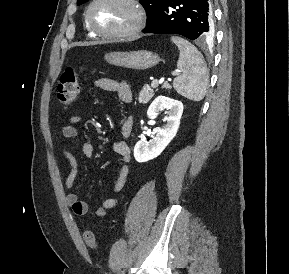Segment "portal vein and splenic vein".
<instances>
[{
  "mask_svg": "<svg viewBox=\"0 0 289 274\" xmlns=\"http://www.w3.org/2000/svg\"><path fill=\"white\" fill-rule=\"evenodd\" d=\"M173 75H174V76H175V75H178V73H173ZM160 83H162V81L155 80V81H153V82L151 83V86H152L153 88H156Z\"/></svg>",
  "mask_w": 289,
  "mask_h": 274,
  "instance_id": "18ae733b",
  "label": "portal vein and splenic vein"
}]
</instances>
